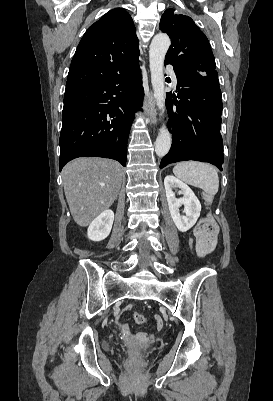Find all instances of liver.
<instances>
[{"label": "liver", "mask_w": 273, "mask_h": 401, "mask_svg": "<svg viewBox=\"0 0 273 401\" xmlns=\"http://www.w3.org/2000/svg\"><path fill=\"white\" fill-rule=\"evenodd\" d=\"M62 178L75 223L88 227L117 198L123 168L112 158H75L64 166Z\"/></svg>", "instance_id": "1"}]
</instances>
